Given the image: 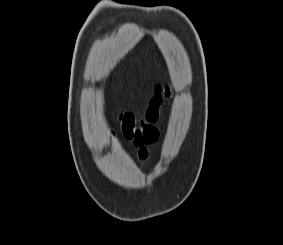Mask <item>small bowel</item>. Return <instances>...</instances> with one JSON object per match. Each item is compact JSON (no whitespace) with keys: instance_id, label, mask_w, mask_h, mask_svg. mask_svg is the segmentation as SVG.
<instances>
[{"instance_id":"obj_1","label":"small bowel","mask_w":283,"mask_h":245,"mask_svg":"<svg viewBox=\"0 0 283 245\" xmlns=\"http://www.w3.org/2000/svg\"><path fill=\"white\" fill-rule=\"evenodd\" d=\"M170 95V91H169V88L166 87L164 89V96L168 97ZM149 157V151L146 147H141L139 150H138V161L141 165L145 164L147 159Z\"/></svg>"}]
</instances>
